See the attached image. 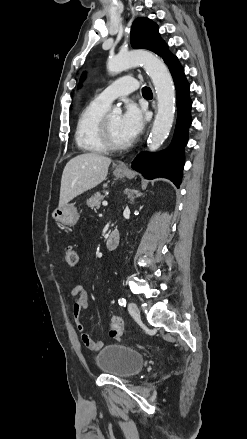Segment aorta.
<instances>
[{
    "mask_svg": "<svg viewBox=\"0 0 247 439\" xmlns=\"http://www.w3.org/2000/svg\"><path fill=\"white\" fill-rule=\"evenodd\" d=\"M143 65L155 87L158 101V111L148 139L149 151H156L163 144L174 120L175 90L172 77L166 65L157 56L148 52L119 53L107 61V70L114 75L125 69ZM114 114H120L121 109L115 107Z\"/></svg>",
    "mask_w": 247,
    "mask_h": 439,
    "instance_id": "obj_1",
    "label": "aorta"
}]
</instances>
